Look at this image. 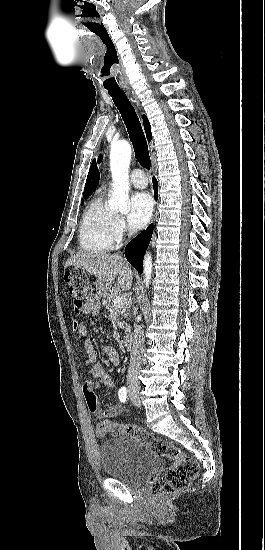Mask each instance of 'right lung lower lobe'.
Here are the masks:
<instances>
[{
    "label": "right lung lower lobe",
    "instance_id": "98d812e1",
    "mask_svg": "<svg viewBox=\"0 0 265 550\" xmlns=\"http://www.w3.org/2000/svg\"><path fill=\"white\" fill-rule=\"evenodd\" d=\"M153 186L155 190L154 196L157 200L158 183L155 177H153ZM152 232L153 226L150 225L146 230H143L138 236L131 240L125 247V257L129 261V263L139 272H143V257L151 240Z\"/></svg>",
    "mask_w": 265,
    "mask_h": 550
}]
</instances>
